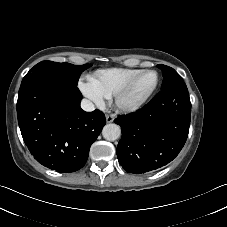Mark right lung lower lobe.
Returning a JSON list of instances; mask_svg holds the SVG:
<instances>
[{
    "label": "right lung lower lobe",
    "instance_id": "obj_1",
    "mask_svg": "<svg viewBox=\"0 0 227 227\" xmlns=\"http://www.w3.org/2000/svg\"><path fill=\"white\" fill-rule=\"evenodd\" d=\"M77 86L38 76L23 84L17 101L18 124L25 144L43 166L58 172L82 168L106 124L99 110L85 112Z\"/></svg>",
    "mask_w": 227,
    "mask_h": 227
}]
</instances>
